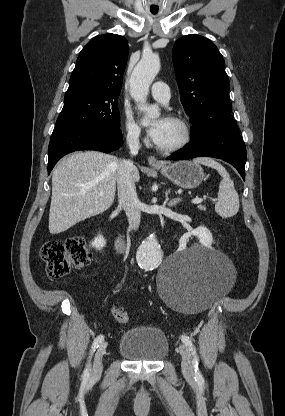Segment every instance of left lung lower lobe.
Instances as JSON below:
<instances>
[{"mask_svg": "<svg viewBox=\"0 0 285 416\" xmlns=\"http://www.w3.org/2000/svg\"><path fill=\"white\" fill-rule=\"evenodd\" d=\"M213 157L232 164L245 180L246 147L236 125L220 126L194 138L167 160Z\"/></svg>", "mask_w": 285, "mask_h": 416, "instance_id": "0a47b994", "label": "left lung lower lobe"}]
</instances>
